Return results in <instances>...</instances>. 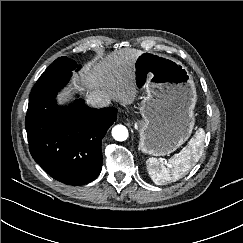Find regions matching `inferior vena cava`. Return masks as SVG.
Masks as SVG:
<instances>
[{
    "label": "inferior vena cava",
    "instance_id": "obj_1",
    "mask_svg": "<svg viewBox=\"0 0 243 243\" xmlns=\"http://www.w3.org/2000/svg\"><path fill=\"white\" fill-rule=\"evenodd\" d=\"M87 102L95 108H103L109 106L111 98L102 90H94L87 96Z\"/></svg>",
    "mask_w": 243,
    "mask_h": 243
}]
</instances>
